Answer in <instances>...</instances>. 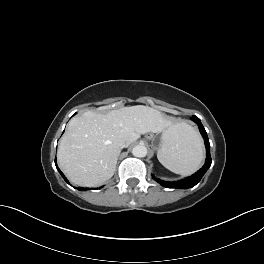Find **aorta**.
I'll return each mask as SVG.
<instances>
[{
  "label": "aorta",
  "instance_id": "762f6f07",
  "mask_svg": "<svg viewBox=\"0 0 264 264\" xmlns=\"http://www.w3.org/2000/svg\"><path fill=\"white\" fill-rule=\"evenodd\" d=\"M132 154L135 157H145L147 155V148L144 145H137L133 148Z\"/></svg>",
  "mask_w": 264,
  "mask_h": 264
}]
</instances>
